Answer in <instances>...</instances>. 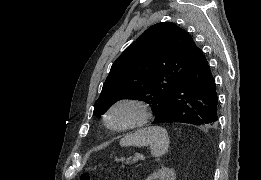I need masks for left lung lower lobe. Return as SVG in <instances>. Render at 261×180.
Segmentation results:
<instances>
[{
	"label": "left lung lower lobe",
	"instance_id": "left-lung-lower-lobe-1",
	"mask_svg": "<svg viewBox=\"0 0 261 180\" xmlns=\"http://www.w3.org/2000/svg\"><path fill=\"white\" fill-rule=\"evenodd\" d=\"M166 111L155 119L157 123H189L213 129L218 121V96L210 66L198 51L196 60L176 84Z\"/></svg>",
	"mask_w": 261,
	"mask_h": 180
}]
</instances>
